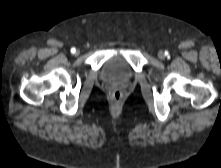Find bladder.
<instances>
[{
    "mask_svg": "<svg viewBox=\"0 0 221 168\" xmlns=\"http://www.w3.org/2000/svg\"><path fill=\"white\" fill-rule=\"evenodd\" d=\"M102 76L109 81L126 80L131 76V69L122 56L110 58L102 68Z\"/></svg>",
    "mask_w": 221,
    "mask_h": 168,
    "instance_id": "bladder-1",
    "label": "bladder"
}]
</instances>
